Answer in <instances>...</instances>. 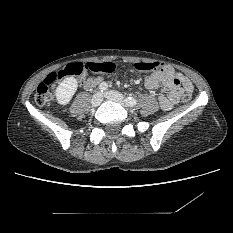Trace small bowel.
<instances>
[{
	"instance_id": "obj_1",
	"label": "small bowel",
	"mask_w": 233,
	"mask_h": 233,
	"mask_svg": "<svg viewBox=\"0 0 233 233\" xmlns=\"http://www.w3.org/2000/svg\"><path fill=\"white\" fill-rule=\"evenodd\" d=\"M144 86L150 91L163 88L157 95V99L164 111L171 110L174 104L179 101L183 92L192 93L193 91L191 81L168 65L148 74L144 79Z\"/></svg>"
}]
</instances>
